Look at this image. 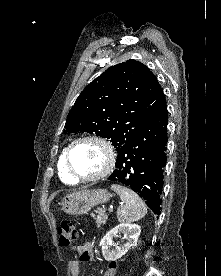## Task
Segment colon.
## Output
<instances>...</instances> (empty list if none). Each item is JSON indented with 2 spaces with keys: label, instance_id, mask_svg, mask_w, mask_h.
I'll return each instance as SVG.
<instances>
[{
  "label": "colon",
  "instance_id": "colon-1",
  "mask_svg": "<svg viewBox=\"0 0 221 276\" xmlns=\"http://www.w3.org/2000/svg\"><path fill=\"white\" fill-rule=\"evenodd\" d=\"M59 244L60 246L69 247L73 245L77 239V231L73 223L69 220H64L58 227ZM117 263L111 262L104 276H115Z\"/></svg>",
  "mask_w": 221,
  "mask_h": 276
}]
</instances>
